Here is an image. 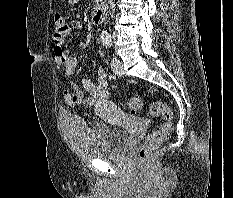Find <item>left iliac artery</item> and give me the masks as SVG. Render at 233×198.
Returning <instances> with one entry per match:
<instances>
[{"mask_svg": "<svg viewBox=\"0 0 233 198\" xmlns=\"http://www.w3.org/2000/svg\"><path fill=\"white\" fill-rule=\"evenodd\" d=\"M107 44L111 46V45H112V42L108 41Z\"/></svg>", "mask_w": 233, "mask_h": 198, "instance_id": "1", "label": "left iliac artery"}]
</instances>
